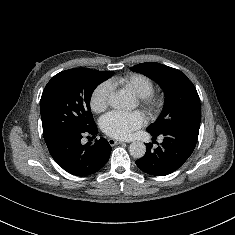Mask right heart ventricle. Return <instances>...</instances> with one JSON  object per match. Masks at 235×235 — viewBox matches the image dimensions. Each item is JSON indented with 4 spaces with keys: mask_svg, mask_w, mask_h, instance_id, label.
Wrapping results in <instances>:
<instances>
[{
    "mask_svg": "<svg viewBox=\"0 0 235 235\" xmlns=\"http://www.w3.org/2000/svg\"><path fill=\"white\" fill-rule=\"evenodd\" d=\"M112 86H118L130 90L137 97L145 96L153 92V81L140 73H131L123 77L116 78L110 82Z\"/></svg>",
    "mask_w": 235,
    "mask_h": 235,
    "instance_id": "1",
    "label": "right heart ventricle"
}]
</instances>
